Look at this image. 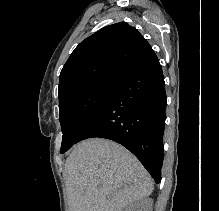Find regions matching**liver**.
<instances>
[{
	"label": "liver",
	"instance_id": "liver-1",
	"mask_svg": "<svg viewBox=\"0 0 219 211\" xmlns=\"http://www.w3.org/2000/svg\"><path fill=\"white\" fill-rule=\"evenodd\" d=\"M64 179L70 211H124L154 189L141 161L123 145L103 137L74 145Z\"/></svg>",
	"mask_w": 219,
	"mask_h": 211
}]
</instances>
